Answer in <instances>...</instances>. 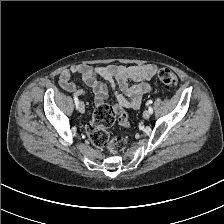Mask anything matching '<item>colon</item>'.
<instances>
[{"instance_id": "1", "label": "colon", "mask_w": 224, "mask_h": 224, "mask_svg": "<svg viewBox=\"0 0 224 224\" xmlns=\"http://www.w3.org/2000/svg\"><path fill=\"white\" fill-rule=\"evenodd\" d=\"M160 84L168 89L176 87L178 78L170 69L158 71ZM117 122L122 127H129V116L118 106L102 104L94 111L92 120L86 127V133L91 143L98 147H105L111 153H119L126 147V140L122 137H110L107 129Z\"/></svg>"}]
</instances>
